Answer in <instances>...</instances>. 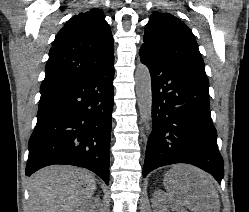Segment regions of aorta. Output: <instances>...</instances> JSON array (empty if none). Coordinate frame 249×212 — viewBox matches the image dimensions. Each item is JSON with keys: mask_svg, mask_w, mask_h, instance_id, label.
<instances>
[{"mask_svg": "<svg viewBox=\"0 0 249 212\" xmlns=\"http://www.w3.org/2000/svg\"><path fill=\"white\" fill-rule=\"evenodd\" d=\"M135 86L140 117L144 123H147L152 116V88L149 69L143 64L137 65Z\"/></svg>", "mask_w": 249, "mask_h": 212, "instance_id": "obj_1", "label": "aorta"}]
</instances>
